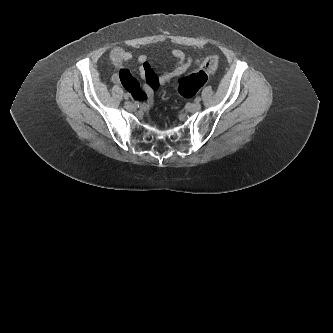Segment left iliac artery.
<instances>
[{
    "mask_svg": "<svg viewBox=\"0 0 333 333\" xmlns=\"http://www.w3.org/2000/svg\"><path fill=\"white\" fill-rule=\"evenodd\" d=\"M195 101H196V102H200V101H201V98H200V97H196V98H195Z\"/></svg>",
    "mask_w": 333,
    "mask_h": 333,
    "instance_id": "obj_1",
    "label": "left iliac artery"
}]
</instances>
